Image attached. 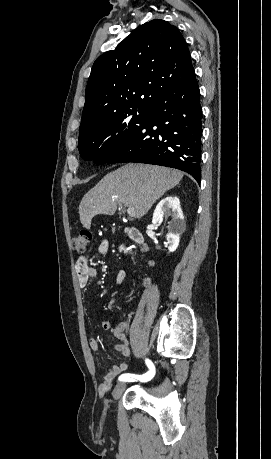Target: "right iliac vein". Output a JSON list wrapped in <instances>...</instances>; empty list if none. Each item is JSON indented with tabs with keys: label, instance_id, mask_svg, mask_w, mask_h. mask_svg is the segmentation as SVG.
<instances>
[{
	"label": "right iliac vein",
	"instance_id": "obj_1",
	"mask_svg": "<svg viewBox=\"0 0 271 459\" xmlns=\"http://www.w3.org/2000/svg\"><path fill=\"white\" fill-rule=\"evenodd\" d=\"M126 386H127L126 383L119 382L114 388L113 398L114 399H118L122 395V393L125 390Z\"/></svg>",
	"mask_w": 271,
	"mask_h": 459
}]
</instances>
